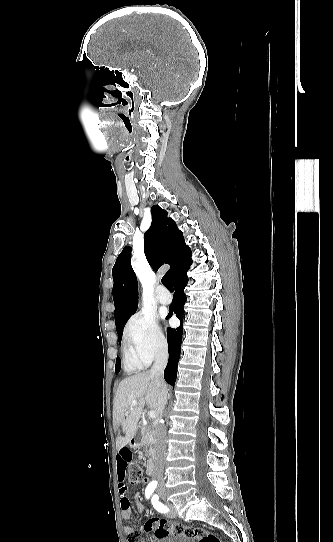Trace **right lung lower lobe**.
Here are the masks:
<instances>
[{
	"label": "right lung lower lobe",
	"instance_id": "1",
	"mask_svg": "<svg viewBox=\"0 0 333 542\" xmlns=\"http://www.w3.org/2000/svg\"><path fill=\"white\" fill-rule=\"evenodd\" d=\"M191 264V250L188 246H186L178 253L172 265L170 277L172 279L175 293L167 318L171 317L172 314L175 313L176 317L181 322L183 321V306L186 301L184 288L188 282L187 271ZM167 332L169 361L165 368L164 377L170 385L174 386L177 377V364L180 357L183 328L182 326H179L176 329L168 328Z\"/></svg>",
	"mask_w": 333,
	"mask_h": 542
}]
</instances>
